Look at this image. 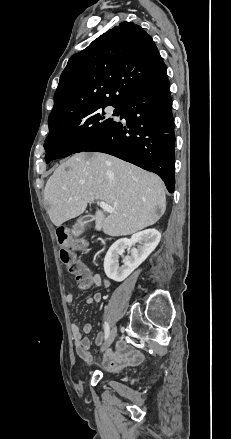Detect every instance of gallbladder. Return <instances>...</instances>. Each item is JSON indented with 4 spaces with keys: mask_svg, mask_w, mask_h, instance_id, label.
<instances>
[{
    "mask_svg": "<svg viewBox=\"0 0 231 439\" xmlns=\"http://www.w3.org/2000/svg\"><path fill=\"white\" fill-rule=\"evenodd\" d=\"M90 217V215H86L78 218L72 229L74 235L79 236L83 232L85 224L92 220Z\"/></svg>",
    "mask_w": 231,
    "mask_h": 439,
    "instance_id": "gallbladder-1",
    "label": "gallbladder"
}]
</instances>
